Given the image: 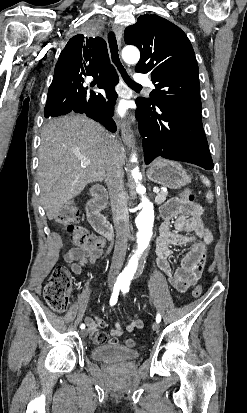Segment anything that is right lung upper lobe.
<instances>
[{
    "label": "right lung upper lobe",
    "instance_id": "cb5924a9",
    "mask_svg": "<svg viewBox=\"0 0 247 413\" xmlns=\"http://www.w3.org/2000/svg\"><path fill=\"white\" fill-rule=\"evenodd\" d=\"M117 74L110 64L106 42L101 37H72L55 66L53 82L71 76L94 78Z\"/></svg>",
    "mask_w": 247,
    "mask_h": 413
}]
</instances>
